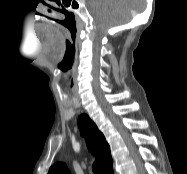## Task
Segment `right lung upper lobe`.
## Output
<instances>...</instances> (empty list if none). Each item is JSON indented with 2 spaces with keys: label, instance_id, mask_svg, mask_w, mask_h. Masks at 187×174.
<instances>
[{
  "label": "right lung upper lobe",
  "instance_id": "right-lung-upper-lobe-1",
  "mask_svg": "<svg viewBox=\"0 0 187 174\" xmlns=\"http://www.w3.org/2000/svg\"><path fill=\"white\" fill-rule=\"evenodd\" d=\"M81 135L85 137L89 150L94 152L100 159L106 174H113V160L110 148L104 135L96 125L90 121L89 126L79 125ZM48 174H70L64 163L54 164Z\"/></svg>",
  "mask_w": 187,
  "mask_h": 174
}]
</instances>
